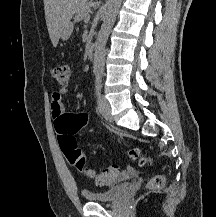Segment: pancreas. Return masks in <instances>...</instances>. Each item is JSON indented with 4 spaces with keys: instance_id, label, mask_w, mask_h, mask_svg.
<instances>
[{
    "instance_id": "pancreas-1",
    "label": "pancreas",
    "mask_w": 216,
    "mask_h": 217,
    "mask_svg": "<svg viewBox=\"0 0 216 217\" xmlns=\"http://www.w3.org/2000/svg\"><path fill=\"white\" fill-rule=\"evenodd\" d=\"M86 13H89V8L86 3L82 4L80 8L77 10L76 15L74 17L75 22H79L81 20H86Z\"/></svg>"
}]
</instances>
